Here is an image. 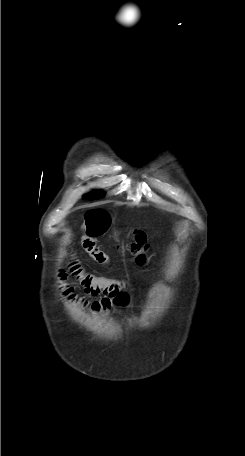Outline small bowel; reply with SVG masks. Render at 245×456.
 <instances>
[{
	"label": "small bowel",
	"instance_id": "obj_1",
	"mask_svg": "<svg viewBox=\"0 0 245 456\" xmlns=\"http://www.w3.org/2000/svg\"><path fill=\"white\" fill-rule=\"evenodd\" d=\"M110 222L111 217L107 211L103 209H92L86 213L81 226L83 232V248L94 260L104 265L108 264L109 259L106 254L97 248L96 238L107 232ZM69 269L71 273L79 278L84 291L88 295H102L100 300L88 302L83 299H77L72 295V290L65 286L64 294L69 300L79 302L93 311H110L114 306H126L129 303L130 296L128 285L125 281L86 274L80 269V266L74 259L70 261Z\"/></svg>",
	"mask_w": 245,
	"mask_h": 456
}]
</instances>
